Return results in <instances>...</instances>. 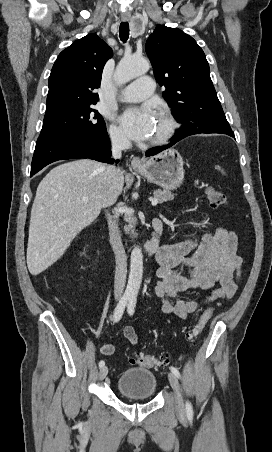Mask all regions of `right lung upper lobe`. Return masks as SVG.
Returning a JSON list of instances; mask_svg holds the SVG:
<instances>
[{"label": "right lung upper lobe", "instance_id": "right-lung-upper-lobe-1", "mask_svg": "<svg viewBox=\"0 0 272 452\" xmlns=\"http://www.w3.org/2000/svg\"><path fill=\"white\" fill-rule=\"evenodd\" d=\"M111 48L96 34H89L63 50L49 77L46 114L99 100L93 90L100 86L103 67L111 58Z\"/></svg>", "mask_w": 272, "mask_h": 452}]
</instances>
